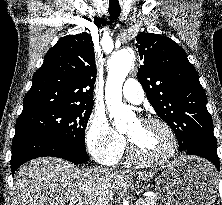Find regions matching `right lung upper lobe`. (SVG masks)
I'll return each mask as SVG.
<instances>
[{
	"instance_id": "obj_1",
	"label": "right lung upper lobe",
	"mask_w": 222,
	"mask_h": 205,
	"mask_svg": "<svg viewBox=\"0 0 222 205\" xmlns=\"http://www.w3.org/2000/svg\"><path fill=\"white\" fill-rule=\"evenodd\" d=\"M96 65L89 34L62 37L47 52L25 96L23 111L49 106H93Z\"/></svg>"
}]
</instances>
